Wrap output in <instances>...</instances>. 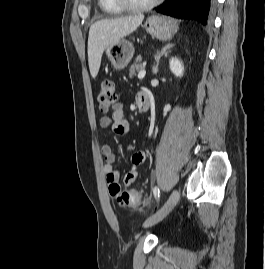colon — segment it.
<instances>
[{"label": "colon", "mask_w": 265, "mask_h": 269, "mask_svg": "<svg viewBox=\"0 0 265 269\" xmlns=\"http://www.w3.org/2000/svg\"><path fill=\"white\" fill-rule=\"evenodd\" d=\"M98 104L102 112L114 109L117 101L115 84L112 80H105L98 90ZM110 192L119 203L126 207H137L143 204V195L140 190H130L121 192L118 187H111Z\"/></svg>", "instance_id": "obj_1"}]
</instances>
